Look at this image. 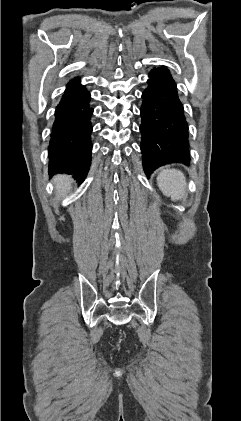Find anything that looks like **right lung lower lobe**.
Returning a JSON list of instances; mask_svg holds the SVG:
<instances>
[{
  "instance_id": "1",
  "label": "right lung lower lobe",
  "mask_w": 241,
  "mask_h": 421,
  "mask_svg": "<svg viewBox=\"0 0 241 421\" xmlns=\"http://www.w3.org/2000/svg\"><path fill=\"white\" fill-rule=\"evenodd\" d=\"M89 101L90 93L80 84V79H72L55 110L48 147L49 175L72 174L80 183L84 181L92 151L93 108Z\"/></svg>"
}]
</instances>
